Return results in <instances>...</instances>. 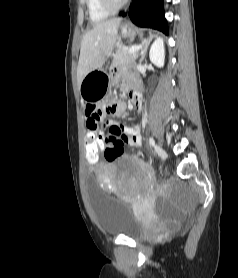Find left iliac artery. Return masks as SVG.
Returning <instances> with one entry per match:
<instances>
[{
  "mask_svg": "<svg viewBox=\"0 0 238 278\" xmlns=\"http://www.w3.org/2000/svg\"><path fill=\"white\" fill-rule=\"evenodd\" d=\"M149 143L151 146H155V141L152 137L149 138Z\"/></svg>",
  "mask_w": 238,
  "mask_h": 278,
  "instance_id": "44dca946",
  "label": "left iliac artery"
}]
</instances>
